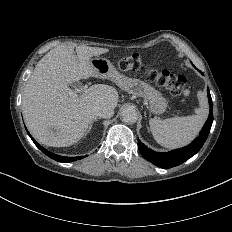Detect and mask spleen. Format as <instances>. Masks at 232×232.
Returning <instances> with one entry per match:
<instances>
[{
    "label": "spleen",
    "mask_w": 232,
    "mask_h": 232,
    "mask_svg": "<svg viewBox=\"0 0 232 232\" xmlns=\"http://www.w3.org/2000/svg\"><path fill=\"white\" fill-rule=\"evenodd\" d=\"M200 108L196 115L174 117L165 120L157 117L150 119V129L156 142L163 147L175 149L188 145L194 140L208 117V99L206 92L198 91Z\"/></svg>",
    "instance_id": "spleen-1"
}]
</instances>
